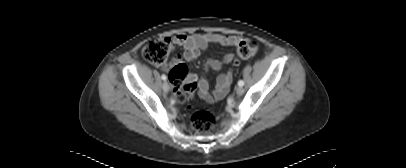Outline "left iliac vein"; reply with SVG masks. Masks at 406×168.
Returning a JSON list of instances; mask_svg holds the SVG:
<instances>
[{
    "instance_id": "1",
    "label": "left iliac vein",
    "mask_w": 406,
    "mask_h": 168,
    "mask_svg": "<svg viewBox=\"0 0 406 168\" xmlns=\"http://www.w3.org/2000/svg\"><path fill=\"white\" fill-rule=\"evenodd\" d=\"M243 93H244L243 87L239 86V87L236 89V94H237L238 96H241V95H243Z\"/></svg>"
}]
</instances>
